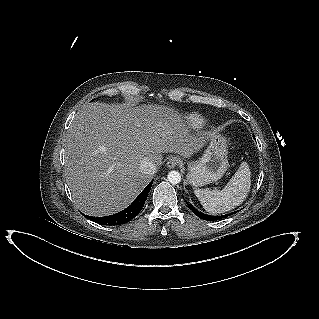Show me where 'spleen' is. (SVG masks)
I'll list each match as a JSON object with an SVG mask.
<instances>
[{
  "label": "spleen",
  "mask_w": 319,
  "mask_h": 319,
  "mask_svg": "<svg viewBox=\"0 0 319 319\" xmlns=\"http://www.w3.org/2000/svg\"><path fill=\"white\" fill-rule=\"evenodd\" d=\"M250 187V167L247 162H242L239 169L221 191L196 189L194 194L207 212L221 214L242 204L250 191Z\"/></svg>",
  "instance_id": "3e777b00"
}]
</instances>
